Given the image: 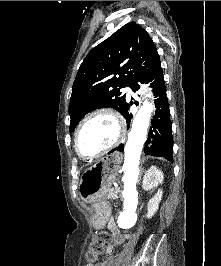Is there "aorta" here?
Returning a JSON list of instances; mask_svg holds the SVG:
<instances>
[{
  "label": "aorta",
  "instance_id": "obj_1",
  "mask_svg": "<svg viewBox=\"0 0 221 266\" xmlns=\"http://www.w3.org/2000/svg\"><path fill=\"white\" fill-rule=\"evenodd\" d=\"M153 109L152 103L148 101H145L140 107L133 120L124 148L123 169L125 173L122 177L124 183V211L119 217V224L124 228L132 226L137 218L138 193L136 183L139 176V162L143 145L147 139V131Z\"/></svg>",
  "mask_w": 221,
  "mask_h": 266
}]
</instances>
